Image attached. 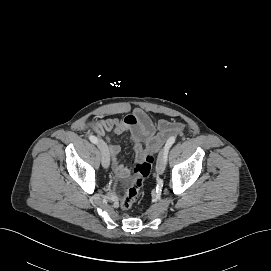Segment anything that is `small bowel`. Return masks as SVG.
Here are the masks:
<instances>
[{
  "mask_svg": "<svg viewBox=\"0 0 271 271\" xmlns=\"http://www.w3.org/2000/svg\"><path fill=\"white\" fill-rule=\"evenodd\" d=\"M92 129L98 135L106 136L113 171L119 179L126 180L131 170L120 162L118 158L120 147L110 141L108 134L128 133L133 141L135 158L140 161L145 156L155 153L165 139L170 134L180 132L183 125L166 120H160L155 124L143 110L135 109L122 119L99 120L92 124Z\"/></svg>",
  "mask_w": 271,
  "mask_h": 271,
  "instance_id": "small-bowel-1",
  "label": "small bowel"
}]
</instances>
